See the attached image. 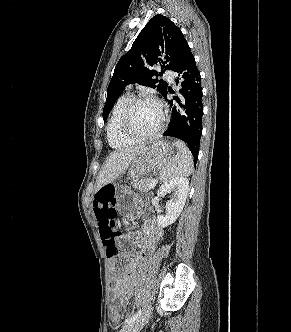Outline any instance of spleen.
I'll return each mask as SVG.
<instances>
[{"label":"spleen","instance_id":"1","mask_svg":"<svg viewBox=\"0 0 291 332\" xmlns=\"http://www.w3.org/2000/svg\"><path fill=\"white\" fill-rule=\"evenodd\" d=\"M173 145L177 147L178 152L161 170L159 178L162 181L190 176L193 172V156L189 148L180 140L174 141Z\"/></svg>","mask_w":291,"mask_h":332}]
</instances>
